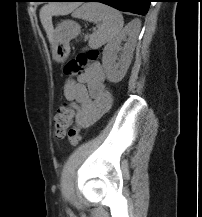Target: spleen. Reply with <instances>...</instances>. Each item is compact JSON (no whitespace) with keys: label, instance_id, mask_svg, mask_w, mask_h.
I'll return each instance as SVG.
<instances>
[{"label":"spleen","instance_id":"obj_1","mask_svg":"<svg viewBox=\"0 0 202 217\" xmlns=\"http://www.w3.org/2000/svg\"><path fill=\"white\" fill-rule=\"evenodd\" d=\"M72 16L89 22L100 23L89 39V47L98 48L116 37L123 28L122 14L101 3H87L76 9ZM140 25H137L139 30Z\"/></svg>","mask_w":202,"mask_h":217}]
</instances>
